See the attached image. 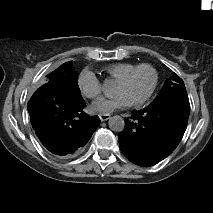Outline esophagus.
I'll use <instances>...</instances> for the list:
<instances>
[{
	"label": "esophagus",
	"instance_id": "esophagus-1",
	"mask_svg": "<svg viewBox=\"0 0 213 213\" xmlns=\"http://www.w3.org/2000/svg\"><path fill=\"white\" fill-rule=\"evenodd\" d=\"M101 121H106L110 118V115L109 114H100L99 115Z\"/></svg>",
	"mask_w": 213,
	"mask_h": 213
}]
</instances>
